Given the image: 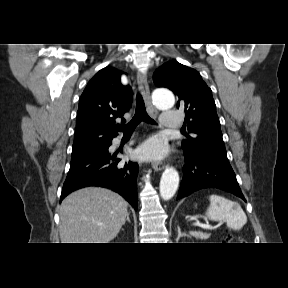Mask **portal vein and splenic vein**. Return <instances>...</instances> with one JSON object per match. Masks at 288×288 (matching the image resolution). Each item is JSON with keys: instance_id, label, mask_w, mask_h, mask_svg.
Masks as SVG:
<instances>
[{"instance_id": "portal-vein-and-splenic-vein-1", "label": "portal vein and splenic vein", "mask_w": 288, "mask_h": 288, "mask_svg": "<svg viewBox=\"0 0 288 288\" xmlns=\"http://www.w3.org/2000/svg\"><path fill=\"white\" fill-rule=\"evenodd\" d=\"M194 226H199V227H202L204 229H212L213 228L209 223L203 224V223L196 222V223H194Z\"/></svg>"}]
</instances>
